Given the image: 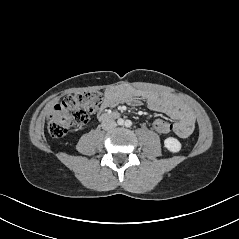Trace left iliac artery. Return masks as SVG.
<instances>
[{
    "mask_svg": "<svg viewBox=\"0 0 239 239\" xmlns=\"http://www.w3.org/2000/svg\"><path fill=\"white\" fill-rule=\"evenodd\" d=\"M132 125V122L130 121V120H127L126 122H125V126L126 127H130Z\"/></svg>",
    "mask_w": 239,
    "mask_h": 239,
    "instance_id": "obj_1",
    "label": "left iliac artery"
}]
</instances>
